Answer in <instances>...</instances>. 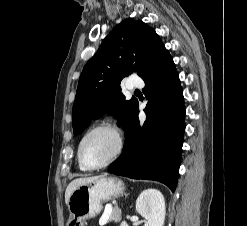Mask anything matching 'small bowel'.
Segmentation results:
<instances>
[{
  "label": "small bowel",
  "instance_id": "1",
  "mask_svg": "<svg viewBox=\"0 0 247 226\" xmlns=\"http://www.w3.org/2000/svg\"><path fill=\"white\" fill-rule=\"evenodd\" d=\"M120 226H127L126 224H121Z\"/></svg>",
  "mask_w": 247,
  "mask_h": 226
}]
</instances>
